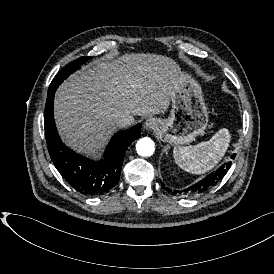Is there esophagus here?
Masks as SVG:
<instances>
[{
	"label": "esophagus",
	"mask_w": 274,
	"mask_h": 274,
	"mask_svg": "<svg viewBox=\"0 0 274 274\" xmlns=\"http://www.w3.org/2000/svg\"><path fill=\"white\" fill-rule=\"evenodd\" d=\"M144 126L148 131H151L157 128L158 123L155 119L149 118L145 121Z\"/></svg>",
	"instance_id": "1"
}]
</instances>
